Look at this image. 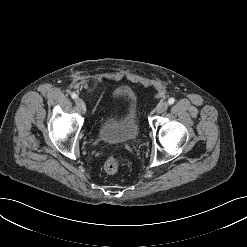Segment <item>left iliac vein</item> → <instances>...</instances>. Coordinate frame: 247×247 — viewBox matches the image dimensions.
<instances>
[{
    "mask_svg": "<svg viewBox=\"0 0 247 247\" xmlns=\"http://www.w3.org/2000/svg\"><path fill=\"white\" fill-rule=\"evenodd\" d=\"M168 103L167 102H161L156 107V113L160 114L165 112L168 109Z\"/></svg>",
    "mask_w": 247,
    "mask_h": 247,
    "instance_id": "1",
    "label": "left iliac vein"
}]
</instances>
